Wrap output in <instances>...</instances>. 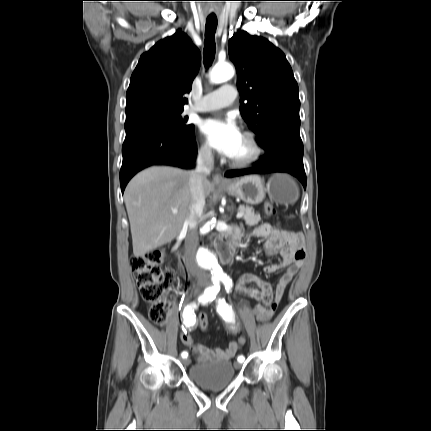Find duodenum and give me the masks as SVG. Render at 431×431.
I'll list each match as a JSON object with an SVG mask.
<instances>
[{"label": "duodenum", "instance_id": "duodenum-1", "mask_svg": "<svg viewBox=\"0 0 431 431\" xmlns=\"http://www.w3.org/2000/svg\"><path fill=\"white\" fill-rule=\"evenodd\" d=\"M238 239L239 234L231 232L219 240L217 247L224 262H229L232 259L238 245Z\"/></svg>", "mask_w": 431, "mask_h": 431}]
</instances>
